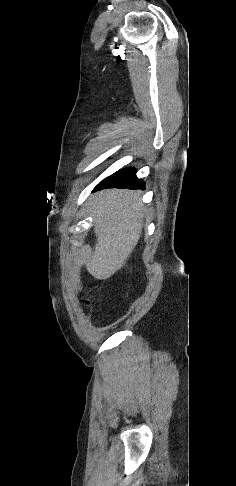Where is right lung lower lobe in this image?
<instances>
[{"label":"right lung lower lobe","instance_id":"obj_1","mask_svg":"<svg viewBox=\"0 0 236 486\" xmlns=\"http://www.w3.org/2000/svg\"><path fill=\"white\" fill-rule=\"evenodd\" d=\"M129 188L144 189V182L136 177L134 168H125L117 171L111 176L101 181L93 191H99L107 188Z\"/></svg>","mask_w":236,"mask_h":486}]
</instances>
